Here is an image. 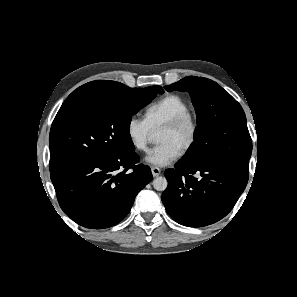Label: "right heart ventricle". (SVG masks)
Masks as SVG:
<instances>
[{
  "label": "right heart ventricle",
  "instance_id": "e07e8e85",
  "mask_svg": "<svg viewBox=\"0 0 297 297\" xmlns=\"http://www.w3.org/2000/svg\"><path fill=\"white\" fill-rule=\"evenodd\" d=\"M186 111H189V104L183 97L177 94H166L146 107L145 119L152 131H156Z\"/></svg>",
  "mask_w": 297,
  "mask_h": 297
}]
</instances>
